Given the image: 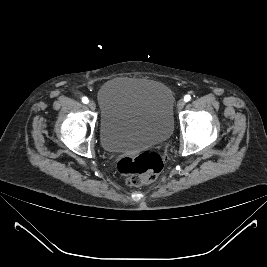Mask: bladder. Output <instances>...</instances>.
I'll return each mask as SVG.
<instances>
[{"label": "bladder", "mask_w": 267, "mask_h": 267, "mask_svg": "<svg viewBox=\"0 0 267 267\" xmlns=\"http://www.w3.org/2000/svg\"><path fill=\"white\" fill-rule=\"evenodd\" d=\"M100 140L108 152L134 151L165 142L174 127V98L164 84L114 78L98 90Z\"/></svg>", "instance_id": "1"}]
</instances>
